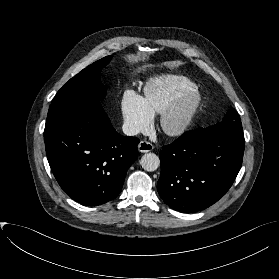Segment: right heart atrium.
I'll return each mask as SVG.
<instances>
[{"mask_svg":"<svg viewBox=\"0 0 279 279\" xmlns=\"http://www.w3.org/2000/svg\"><path fill=\"white\" fill-rule=\"evenodd\" d=\"M121 115L124 128L130 135L147 131L153 117L144 99L131 90H126L122 95Z\"/></svg>","mask_w":279,"mask_h":279,"instance_id":"right-heart-atrium-1","label":"right heart atrium"}]
</instances>
